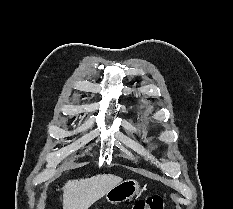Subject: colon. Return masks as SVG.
Masks as SVG:
<instances>
[{
    "label": "colon",
    "instance_id": "5ec220e1",
    "mask_svg": "<svg viewBox=\"0 0 233 209\" xmlns=\"http://www.w3.org/2000/svg\"><path fill=\"white\" fill-rule=\"evenodd\" d=\"M132 209H163V200L160 195H150L134 203Z\"/></svg>",
    "mask_w": 233,
    "mask_h": 209
}]
</instances>
